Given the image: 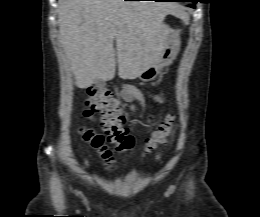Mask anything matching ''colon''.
<instances>
[{"mask_svg":"<svg viewBox=\"0 0 260 217\" xmlns=\"http://www.w3.org/2000/svg\"><path fill=\"white\" fill-rule=\"evenodd\" d=\"M86 114L98 113L101 116L102 126L106 135L98 134L94 130L83 129L84 138L91 142L93 148L98 150L103 159L111 164L113 153L128 155L133 150V137L125 127V117L119 109L118 102L112 92L104 89H93L88 91L86 100ZM175 116L168 115L161 122L152 137L148 140L143 155H151L159 151L175 132ZM112 144V148L107 146Z\"/></svg>","mask_w":260,"mask_h":217,"instance_id":"colon-1","label":"colon"}]
</instances>
